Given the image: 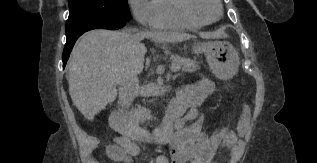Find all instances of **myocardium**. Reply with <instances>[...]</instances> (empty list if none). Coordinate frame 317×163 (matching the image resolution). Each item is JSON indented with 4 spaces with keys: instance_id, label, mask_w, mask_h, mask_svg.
<instances>
[{
    "instance_id": "myocardium-1",
    "label": "myocardium",
    "mask_w": 317,
    "mask_h": 163,
    "mask_svg": "<svg viewBox=\"0 0 317 163\" xmlns=\"http://www.w3.org/2000/svg\"><path fill=\"white\" fill-rule=\"evenodd\" d=\"M217 8H218V16L215 19H205L197 14H195L190 6L191 0H176V9L178 14L183 18L184 20L199 24V25H208L211 23H214L218 21L223 14V8L221 4V0H214Z\"/></svg>"
}]
</instances>
